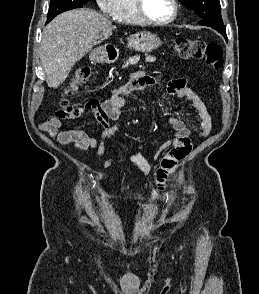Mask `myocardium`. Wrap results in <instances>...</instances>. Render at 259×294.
<instances>
[{"label":"myocardium","instance_id":"obj_1","mask_svg":"<svg viewBox=\"0 0 259 294\" xmlns=\"http://www.w3.org/2000/svg\"><path fill=\"white\" fill-rule=\"evenodd\" d=\"M172 6H173V13L171 17L164 21H157L151 19L146 11H145V0H134L135 10L136 13L142 23L152 25V26H166L171 23H173L179 14V5L177 0H171Z\"/></svg>","mask_w":259,"mask_h":294}]
</instances>
